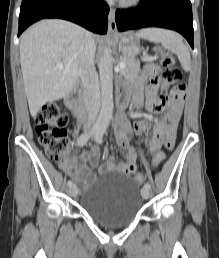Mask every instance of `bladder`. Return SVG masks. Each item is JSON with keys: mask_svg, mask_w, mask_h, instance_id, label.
<instances>
[{"mask_svg": "<svg viewBox=\"0 0 219 258\" xmlns=\"http://www.w3.org/2000/svg\"><path fill=\"white\" fill-rule=\"evenodd\" d=\"M142 205L135 181L115 170L105 171L94 177L80 198L81 209L108 227L130 223L139 214Z\"/></svg>", "mask_w": 219, "mask_h": 258, "instance_id": "obj_1", "label": "bladder"}]
</instances>
